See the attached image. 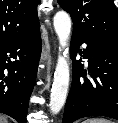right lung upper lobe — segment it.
Listing matches in <instances>:
<instances>
[{
	"label": "right lung upper lobe",
	"mask_w": 118,
	"mask_h": 123,
	"mask_svg": "<svg viewBox=\"0 0 118 123\" xmlns=\"http://www.w3.org/2000/svg\"><path fill=\"white\" fill-rule=\"evenodd\" d=\"M39 0H0V44L30 37L39 30Z\"/></svg>",
	"instance_id": "right-lung-upper-lobe-1"
}]
</instances>
